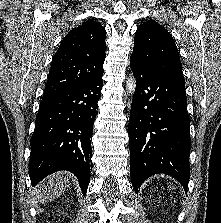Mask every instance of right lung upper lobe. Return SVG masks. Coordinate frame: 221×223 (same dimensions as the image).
Segmentation results:
<instances>
[{
  "mask_svg": "<svg viewBox=\"0 0 221 223\" xmlns=\"http://www.w3.org/2000/svg\"><path fill=\"white\" fill-rule=\"evenodd\" d=\"M105 39V28L90 19L72 29L54 56L43 98L75 88L102 74Z\"/></svg>",
  "mask_w": 221,
  "mask_h": 223,
  "instance_id": "cb5924a9",
  "label": "right lung upper lobe"
}]
</instances>
